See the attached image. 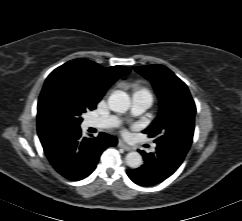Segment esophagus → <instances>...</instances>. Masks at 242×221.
Listing matches in <instances>:
<instances>
[{
    "instance_id": "1",
    "label": "esophagus",
    "mask_w": 242,
    "mask_h": 221,
    "mask_svg": "<svg viewBox=\"0 0 242 221\" xmlns=\"http://www.w3.org/2000/svg\"><path fill=\"white\" fill-rule=\"evenodd\" d=\"M118 146H119L120 148H123V149L126 150V151H131V150L133 149L132 147L126 145L123 141H119V142H118Z\"/></svg>"
}]
</instances>
